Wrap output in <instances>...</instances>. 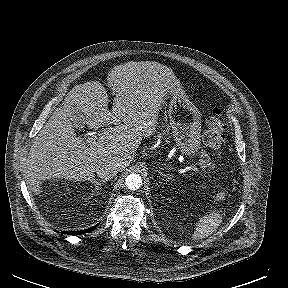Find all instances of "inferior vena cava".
<instances>
[{
  "label": "inferior vena cava",
  "mask_w": 288,
  "mask_h": 288,
  "mask_svg": "<svg viewBox=\"0 0 288 288\" xmlns=\"http://www.w3.org/2000/svg\"><path fill=\"white\" fill-rule=\"evenodd\" d=\"M119 168L120 165L118 163L113 161H105L96 166L95 172L97 173L98 177L104 180H110L117 175Z\"/></svg>",
  "instance_id": "obj_1"
}]
</instances>
